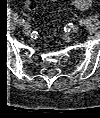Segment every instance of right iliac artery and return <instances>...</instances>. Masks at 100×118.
Masks as SVG:
<instances>
[{"instance_id":"1","label":"right iliac artery","mask_w":100,"mask_h":118,"mask_svg":"<svg viewBox=\"0 0 100 118\" xmlns=\"http://www.w3.org/2000/svg\"><path fill=\"white\" fill-rule=\"evenodd\" d=\"M20 24H21V25L24 24V20H20Z\"/></svg>"}]
</instances>
